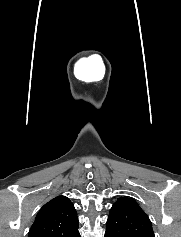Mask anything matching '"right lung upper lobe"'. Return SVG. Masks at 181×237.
I'll return each instance as SVG.
<instances>
[{"mask_svg": "<svg viewBox=\"0 0 181 237\" xmlns=\"http://www.w3.org/2000/svg\"><path fill=\"white\" fill-rule=\"evenodd\" d=\"M79 221L72 202L57 196L37 213L29 237H77Z\"/></svg>", "mask_w": 181, "mask_h": 237, "instance_id": "cb5924a9", "label": "right lung upper lobe"}]
</instances>
